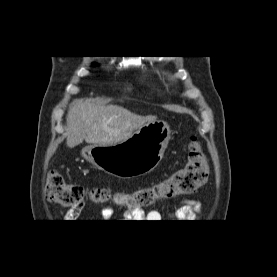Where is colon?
Returning a JSON list of instances; mask_svg holds the SVG:
<instances>
[{
    "mask_svg": "<svg viewBox=\"0 0 277 277\" xmlns=\"http://www.w3.org/2000/svg\"><path fill=\"white\" fill-rule=\"evenodd\" d=\"M208 165L200 141L192 138L189 143L187 163L171 176L153 187H143L129 193L113 194L108 189L85 190L78 184L67 183L57 171H50L45 185V197L51 202L74 207L87 198L96 201L113 200L119 204L144 208L158 199H168L194 193L206 181Z\"/></svg>",
    "mask_w": 277,
    "mask_h": 277,
    "instance_id": "obj_1",
    "label": "colon"
}]
</instances>
